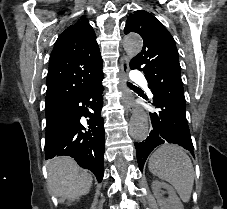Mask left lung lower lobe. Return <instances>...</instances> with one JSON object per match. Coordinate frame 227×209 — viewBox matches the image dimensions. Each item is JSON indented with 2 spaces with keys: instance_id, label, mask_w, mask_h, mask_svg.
Listing matches in <instances>:
<instances>
[{
  "instance_id": "0a47b994",
  "label": "left lung lower lobe",
  "mask_w": 227,
  "mask_h": 209,
  "mask_svg": "<svg viewBox=\"0 0 227 209\" xmlns=\"http://www.w3.org/2000/svg\"><path fill=\"white\" fill-rule=\"evenodd\" d=\"M151 105L159 109L157 112L150 113L153 130L145 141L135 143L137 161L141 171L151 151L164 143L178 144L189 150L194 156L185 108L170 99L159 97L154 98Z\"/></svg>"
}]
</instances>
